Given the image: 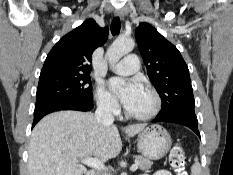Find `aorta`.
Masks as SVG:
<instances>
[{
  "label": "aorta",
  "instance_id": "1",
  "mask_svg": "<svg viewBox=\"0 0 233 175\" xmlns=\"http://www.w3.org/2000/svg\"><path fill=\"white\" fill-rule=\"evenodd\" d=\"M134 45L132 39H117L106 52L108 62L112 65L117 63L124 55L133 50Z\"/></svg>",
  "mask_w": 233,
  "mask_h": 175
}]
</instances>
